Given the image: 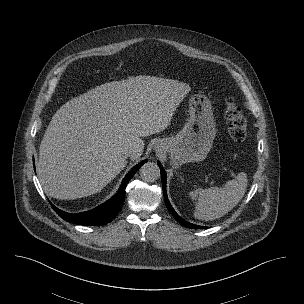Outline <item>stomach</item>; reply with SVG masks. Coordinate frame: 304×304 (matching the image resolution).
Segmentation results:
<instances>
[{
    "instance_id": "obj_1",
    "label": "stomach",
    "mask_w": 304,
    "mask_h": 304,
    "mask_svg": "<svg viewBox=\"0 0 304 304\" xmlns=\"http://www.w3.org/2000/svg\"><path fill=\"white\" fill-rule=\"evenodd\" d=\"M215 133L211 102L205 95L196 94L189 99V118L183 129L159 140L157 147L170 153L175 166L202 161L212 148Z\"/></svg>"
}]
</instances>
